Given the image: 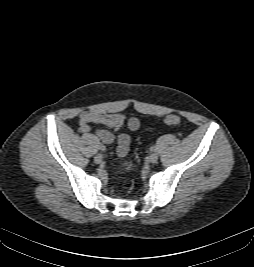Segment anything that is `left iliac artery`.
<instances>
[{
    "label": "left iliac artery",
    "instance_id": "1",
    "mask_svg": "<svg viewBox=\"0 0 254 267\" xmlns=\"http://www.w3.org/2000/svg\"><path fill=\"white\" fill-rule=\"evenodd\" d=\"M150 150H151V151H155L156 148H155L154 146H152V147L150 148Z\"/></svg>",
    "mask_w": 254,
    "mask_h": 267
}]
</instances>
